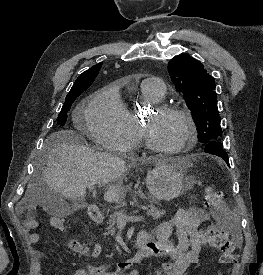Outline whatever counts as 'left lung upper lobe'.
<instances>
[{
  "instance_id": "left-lung-upper-lobe-1",
  "label": "left lung upper lobe",
  "mask_w": 263,
  "mask_h": 275,
  "mask_svg": "<svg viewBox=\"0 0 263 275\" xmlns=\"http://www.w3.org/2000/svg\"><path fill=\"white\" fill-rule=\"evenodd\" d=\"M168 71L178 92L184 95L197 127L199 142L219 140L222 129L217 107L215 81L204 66L189 55H179L168 63Z\"/></svg>"
}]
</instances>
